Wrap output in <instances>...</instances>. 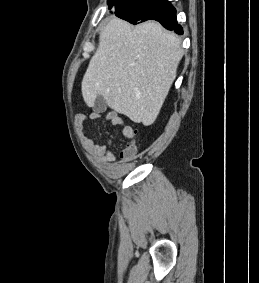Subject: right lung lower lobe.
<instances>
[{
  "label": "right lung lower lobe",
  "instance_id": "1",
  "mask_svg": "<svg viewBox=\"0 0 259 283\" xmlns=\"http://www.w3.org/2000/svg\"><path fill=\"white\" fill-rule=\"evenodd\" d=\"M109 9L121 19L132 24L146 20H156L168 30L182 35L177 24L176 10L168 0H108Z\"/></svg>",
  "mask_w": 259,
  "mask_h": 283
}]
</instances>
